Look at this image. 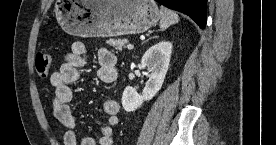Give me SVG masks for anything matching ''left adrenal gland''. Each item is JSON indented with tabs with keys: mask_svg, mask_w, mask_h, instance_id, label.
<instances>
[{
	"mask_svg": "<svg viewBox=\"0 0 276 145\" xmlns=\"http://www.w3.org/2000/svg\"><path fill=\"white\" fill-rule=\"evenodd\" d=\"M152 38H154V37H150L149 39H147L146 41H148V40H150V39H152Z\"/></svg>",
	"mask_w": 276,
	"mask_h": 145,
	"instance_id": "a2214340",
	"label": "left adrenal gland"
}]
</instances>
